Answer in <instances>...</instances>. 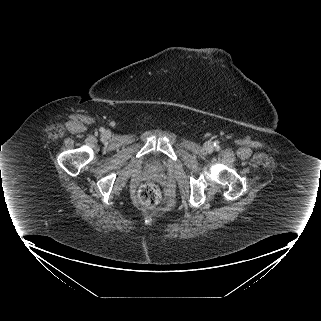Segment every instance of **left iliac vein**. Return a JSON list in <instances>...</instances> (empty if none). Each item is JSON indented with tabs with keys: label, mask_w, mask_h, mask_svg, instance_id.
I'll return each instance as SVG.
<instances>
[{
	"label": "left iliac vein",
	"mask_w": 321,
	"mask_h": 321,
	"mask_svg": "<svg viewBox=\"0 0 321 321\" xmlns=\"http://www.w3.org/2000/svg\"><path fill=\"white\" fill-rule=\"evenodd\" d=\"M211 146H210V144L208 143V144H206V148L207 149H209Z\"/></svg>",
	"instance_id": "obj_1"
}]
</instances>
